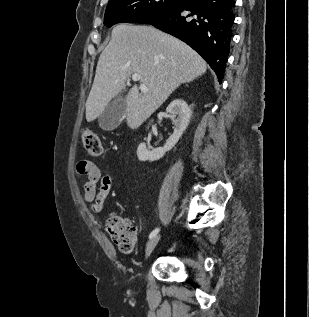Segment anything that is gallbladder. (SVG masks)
Returning <instances> with one entry per match:
<instances>
[{
	"mask_svg": "<svg viewBox=\"0 0 309 317\" xmlns=\"http://www.w3.org/2000/svg\"><path fill=\"white\" fill-rule=\"evenodd\" d=\"M126 114V99L119 95L108 103L98 118L99 126L106 131L117 128Z\"/></svg>",
	"mask_w": 309,
	"mask_h": 317,
	"instance_id": "gallbladder-1",
	"label": "gallbladder"
}]
</instances>
